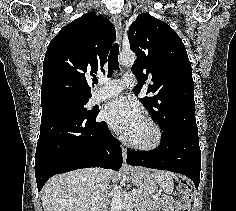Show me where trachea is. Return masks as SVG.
Listing matches in <instances>:
<instances>
[{
  "label": "trachea",
  "instance_id": "3493384b",
  "mask_svg": "<svg viewBox=\"0 0 236 211\" xmlns=\"http://www.w3.org/2000/svg\"><path fill=\"white\" fill-rule=\"evenodd\" d=\"M118 55H119V46L117 43H115L108 56V77L109 78L112 76L114 70L119 69Z\"/></svg>",
  "mask_w": 236,
  "mask_h": 211
}]
</instances>
